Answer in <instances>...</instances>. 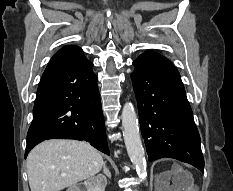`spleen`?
<instances>
[{
  "label": "spleen",
  "instance_id": "spleen-1",
  "mask_svg": "<svg viewBox=\"0 0 233 191\" xmlns=\"http://www.w3.org/2000/svg\"><path fill=\"white\" fill-rule=\"evenodd\" d=\"M181 174H184V175H188L187 173H185L183 170L180 171Z\"/></svg>",
  "mask_w": 233,
  "mask_h": 191
}]
</instances>
